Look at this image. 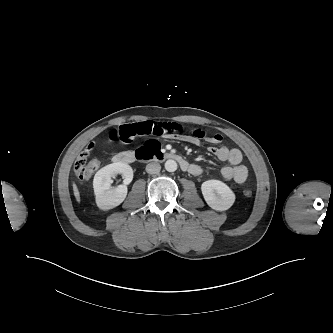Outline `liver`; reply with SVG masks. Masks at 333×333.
<instances>
[{
    "mask_svg": "<svg viewBox=\"0 0 333 333\" xmlns=\"http://www.w3.org/2000/svg\"><path fill=\"white\" fill-rule=\"evenodd\" d=\"M73 192H74V196H75L77 202L79 203L80 202V192H79L78 187L75 183H73Z\"/></svg>",
    "mask_w": 333,
    "mask_h": 333,
    "instance_id": "6515ba94",
    "label": "liver"
}]
</instances>
